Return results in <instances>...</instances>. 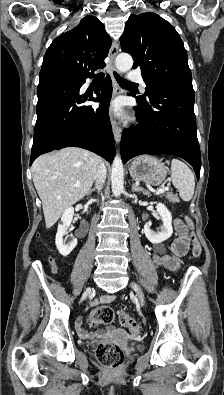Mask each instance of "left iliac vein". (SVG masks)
<instances>
[{
    "mask_svg": "<svg viewBox=\"0 0 224 395\" xmlns=\"http://www.w3.org/2000/svg\"><path fill=\"white\" fill-rule=\"evenodd\" d=\"M131 287H132L133 290L135 291V293H136V295H137V297H138V300H139L140 304H141L142 306H145L144 296H143V292H142L140 286H139L138 284H136V283L133 282V283L131 284Z\"/></svg>",
    "mask_w": 224,
    "mask_h": 395,
    "instance_id": "left-iliac-vein-1",
    "label": "left iliac vein"
}]
</instances>
